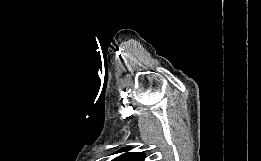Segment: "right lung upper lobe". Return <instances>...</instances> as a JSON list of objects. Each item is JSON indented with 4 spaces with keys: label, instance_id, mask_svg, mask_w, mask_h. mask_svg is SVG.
I'll list each match as a JSON object with an SVG mask.
<instances>
[{
    "label": "right lung upper lobe",
    "instance_id": "right-lung-upper-lobe-1",
    "mask_svg": "<svg viewBox=\"0 0 261 161\" xmlns=\"http://www.w3.org/2000/svg\"><path fill=\"white\" fill-rule=\"evenodd\" d=\"M127 149H123L122 152H126ZM144 154L136 152H127L121 156L115 158L113 161H144Z\"/></svg>",
    "mask_w": 261,
    "mask_h": 161
}]
</instances>
